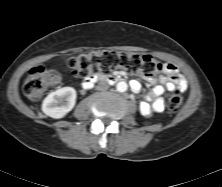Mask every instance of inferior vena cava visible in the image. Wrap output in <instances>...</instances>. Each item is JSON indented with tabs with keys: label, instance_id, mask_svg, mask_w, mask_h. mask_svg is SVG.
I'll return each instance as SVG.
<instances>
[{
	"label": "inferior vena cava",
	"instance_id": "obj_1",
	"mask_svg": "<svg viewBox=\"0 0 222 187\" xmlns=\"http://www.w3.org/2000/svg\"><path fill=\"white\" fill-rule=\"evenodd\" d=\"M109 88V84L106 81H100L97 85L98 90H107Z\"/></svg>",
	"mask_w": 222,
	"mask_h": 187
}]
</instances>
